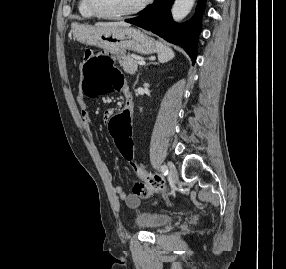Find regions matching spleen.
<instances>
[{
	"instance_id": "spleen-1",
	"label": "spleen",
	"mask_w": 286,
	"mask_h": 269,
	"mask_svg": "<svg viewBox=\"0 0 286 269\" xmlns=\"http://www.w3.org/2000/svg\"><path fill=\"white\" fill-rule=\"evenodd\" d=\"M158 60L160 63H165L174 58L175 54L173 50L169 47H166L163 43L156 42Z\"/></svg>"
}]
</instances>
